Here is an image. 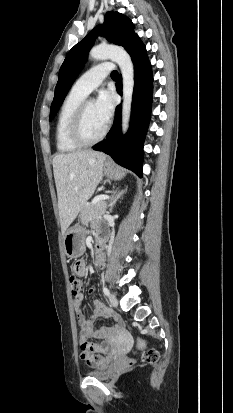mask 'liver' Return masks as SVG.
I'll return each instance as SVG.
<instances>
[{
    "label": "liver",
    "mask_w": 233,
    "mask_h": 413,
    "mask_svg": "<svg viewBox=\"0 0 233 413\" xmlns=\"http://www.w3.org/2000/svg\"><path fill=\"white\" fill-rule=\"evenodd\" d=\"M105 160L103 153L92 150L54 156L53 172L62 233H66L92 196L103 176Z\"/></svg>",
    "instance_id": "1"
}]
</instances>
